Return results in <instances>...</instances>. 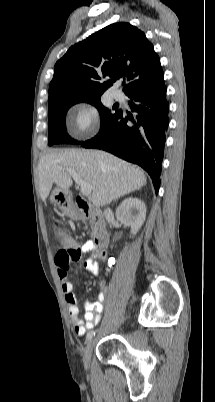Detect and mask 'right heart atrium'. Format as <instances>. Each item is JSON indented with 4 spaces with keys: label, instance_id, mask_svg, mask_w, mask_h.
Returning <instances> with one entry per match:
<instances>
[{
    "label": "right heart atrium",
    "instance_id": "d8ad5b80",
    "mask_svg": "<svg viewBox=\"0 0 215 402\" xmlns=\"http://www.w3.org/2000/svg\"><path fill=\"white\" fill-rule=\"evenodd\" d=\"M98 120L95 107L88 103H78L71 110L72 133L78 138H87L96 131Z\"/></svg>",
    "mask_w": 215,
    "mask_h": 402
}]
</instances>
